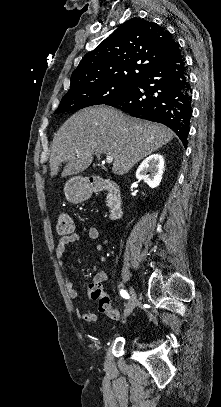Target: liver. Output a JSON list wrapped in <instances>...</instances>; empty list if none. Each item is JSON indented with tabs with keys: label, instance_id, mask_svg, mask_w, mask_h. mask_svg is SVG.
<instances>
[{
	"label": "liver",
	"instance_id": "obj_1",
	"mask_svg": "<svg viewBox=\"0 0 221 407\" xmlns=\"http://www.w3.org/2000/svg\"><path fill=\"white\" fill-rule=\"evenodd\" d=\"M173 139L164 125L129 117L107 107H88L72 115L55 134L50 153V175L79 174L93 161L94 154L114 159L112 172L126 174L137 162Z\"/></svg>",
	"mask_w": 221,
	"mask_h": 407
}]
</instances>
